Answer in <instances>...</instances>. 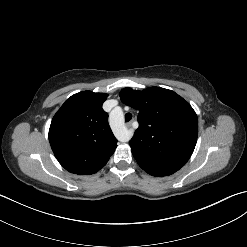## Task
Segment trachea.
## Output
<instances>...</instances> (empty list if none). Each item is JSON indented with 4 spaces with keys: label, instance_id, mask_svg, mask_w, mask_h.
<instances>
[{
    "label": "trachea",
    "instance_id": "3493384b",
    "mask_svg": "<svg viewBox=\"0 0 247 247\" xmlns=\"http://www.w3.org/2000/svg\"><path fill=\"white\" fill-rule=\"evenodd\" d=\"M132 119V114L131 113H126L125 114V121L128 122Z\"/></svg>",
    "mask_w": 247,
    "mask_h": 247
}]
</instances>
